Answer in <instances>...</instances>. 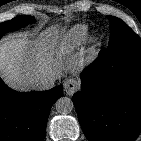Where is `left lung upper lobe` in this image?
I'll list each match as a JSON object with an SVG mask.
<instances>
[{"mask_svg": "<svg viewBox=\"0 0 141 141\" xmlns=\"http://www.w3.org/2000/svg\"><path fill=\"white\" fill-rule=\"evenodd\" d=\"M110 21L111 39L108 48L141 47L140 37L122 20L107 16Z\"/></svg>", "mask_w": 141, "mask_h": 141, "instance_id": "5c2ea615", "label": "left lung upper lobe"}]
</instances>
